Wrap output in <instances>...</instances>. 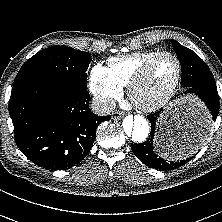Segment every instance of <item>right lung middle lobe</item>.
<instances>
[{"label": "right lung middle lobe", "mask_w": 222, "mask_h": 222, "mask_svg": "<svg viewBox=\"0 0 222 222\" xmlns=\"http://www.w3.org/2000/svg\"><path fill=\"white\" fill-rule=\"evenodd\" d=\"M91 62V54L67 46L43 49L28 59L21 67L17 78L45 76L86 89V71Z\"/></svg>", "instance_id": "right-lung-middle-lobe-1"}]
</instances>
